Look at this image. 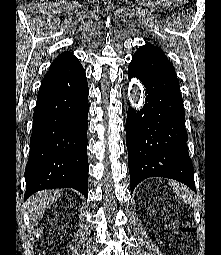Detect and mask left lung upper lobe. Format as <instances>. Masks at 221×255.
<instances>
[{
  "label": "left lung upper lobe",
  "mask_w": 221,
  "mask_h": 255,
  "mask_svg": "<svg viewBox=\"0 0 221 255\" xmlns=\"http://www.w3.org/2000/svg\"><path fill=\"white\" fill-rule=\"evenodd\" d=\"M145 46L153 47V48H155V49H157V50H159V51H161V52H162V50H161L159 47L155 46V45H152V44H146Z\"/></svg>",
  "instance_id": "5c2ea615"
}]
</instances>
